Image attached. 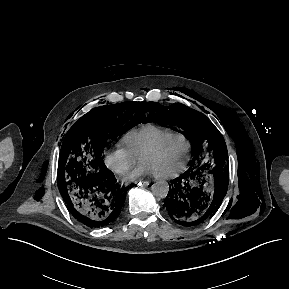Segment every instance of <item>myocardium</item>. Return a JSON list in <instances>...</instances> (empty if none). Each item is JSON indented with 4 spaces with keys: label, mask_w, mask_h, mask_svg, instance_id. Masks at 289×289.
Segmentation results:
<instances>
[{
    "label": "myocardium",
    "mask_w": 289,
    "mask_h": 289,
    "mask_svg": "<svg viewBox=\"0 0 289 289\" xmlns=\"http://www.w3.org/2000/svg\"><path fill=\"white\" fill-rule=\"evenodd\" d=\"M171 138H180V139L185 141V143L187 144V148H188L186 160L184 161V163L182 164V166L180 168H178L177 170H175L173 172L164 173V174H154L157 178L169 179V178H174V177L179 176L187 169L188 164L191 160L192 144H191L190 140L184 134L175 131V132H172V133H169V134L163 136L162 138H160L156 142H154L152 145H150L148 148H146L142 152V154L139 156L140 161H142L144 157L157 151L164 142H166L167 140H169Z\"/></svg>",
    "instance_id": "f54148a6"
}]
</instances>
